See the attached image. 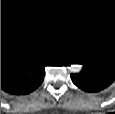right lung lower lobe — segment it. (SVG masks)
I'll return each instance as SVG.
<instances>
[{
  "mask_svg": "<svg viewBox=\"0 0 115 114\" xmlns=\"http://www.w3.org/2000/svg\"><path fill=\"white\" fill-rule=\"evenodd\" d=\"M45 59L1 61V89L14 95H25L38 88L45 76Z\"/></svg>",
  "mask_w": 115,
  "mask_h": 114,
  "instance_id": "98d812e1",
  "label": "right lung lower lobe"
}]
</instances>
